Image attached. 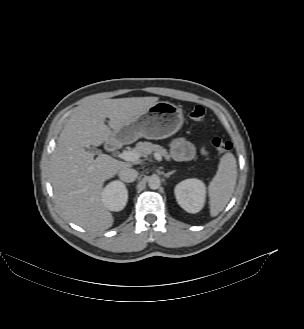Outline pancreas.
Segmentation results:
<instances>
[{
    "label": "pancreas",
    "instance_id": "cf45deb5",
    "mask_svg": "<svg viewBox=\"0 0 304 329\" xmlns=\"http://www.w3.org/2000/svg\"><path fill=\"white\" fill-rule=\"evenodd\" d=\"M132 150L138 152L141 156L144 157L151 154L152 152H156L159 153L161 156H164L166 160H170V155L168 154L165 148L157 144H152L151 142H138Z\"/></svg>",
    "mask_w": 304,
    "mask_h": 329
}]
</instances>
